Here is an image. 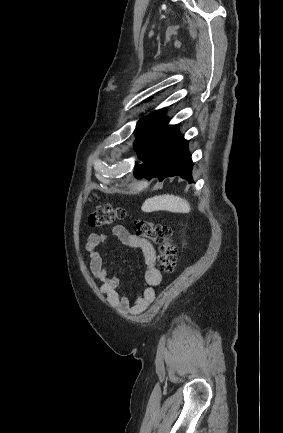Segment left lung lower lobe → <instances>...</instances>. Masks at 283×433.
Returning a JSON list of instances; mask_svg holds the SVG:
<instances>
[{"instance_id":"left-lung-lower-lobe-1","label":"left lung lower lobe","mask_w":283,"mask_h":433,"mask_svg":"<svg viewBox=\"0 0 283 433\" xmlns=\"http://www.w3.org/2000/svg\"><path fill=\"white\" fill-rule=\"evenodd\" d=\"M188 141L178 131L170 128L154 130L140 150L142 164L136 163L137 178L159 177L160 181L168 176L180 175L192 182V160L187 149Z\"/></svg>"}]
</instances>
